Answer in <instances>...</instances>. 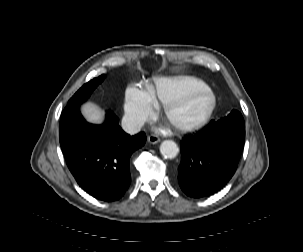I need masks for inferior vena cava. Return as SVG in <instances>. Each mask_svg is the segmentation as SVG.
Listing matches in <instances>:
<instances>
[{"label": "inferior vena cava", "mask_w": 303, "mask_h": 252, "mask_svg": "<svg viewBox=\"0 0 303 252\" xmlns=\"http://www.w3.org/2000/svg\"><path fill=\"white\" fill-rule=\"evenodd\" d=\"M143 126V122L132 116H124L122 119V128L126 133L136 134Z\"/></svg>", "instance_id": "obj_1"}]
</instances>
